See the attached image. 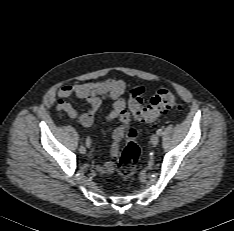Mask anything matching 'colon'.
<instances>
[{
	"label": "colon",
	"mask_w": 234,
	"mask_h": 231,
	"mask_svg": "<svg viewBox=\"0 0 234 231\" xmlns=\"http://www.w3.org/2000/svg\"><path fill=\"white\" fill-rule=\"evenodd\" d=\"M144 88L135 87L129 94V109L134 116L140 122L152 123L165 111L174 108L177 105V97L173 92L168 89L159 90L150 100L147 106L143 102ZM126 136L124 148L120 154L117 171L119 175L127 180L131 178L136 169L137 162L140 157V148L135 141L136 130L133 127L125 128L120 127L114 132V144L112 147V153L118 154V142Z\"/></svg>",
	"instance_id": "5ec220e1"
}]
</instances>
